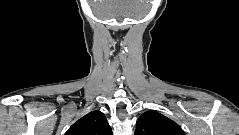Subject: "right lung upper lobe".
Listing matches in <instances>:
<instances>
[{"label":"right lung upper lobe","instance_id":"obj_1","mask_svg":"<svg viewBox=\"0 0 239 135\" xmlns=\"http://www.w3.org/2000/svg\"><path fill=\"white\" fill-rule=\"evenodd\" d=\"M65 135H113V133L104 114L94 110L75 122Z\"/></svg>","mask_w":239,"mask_h":135}]
</instances>
